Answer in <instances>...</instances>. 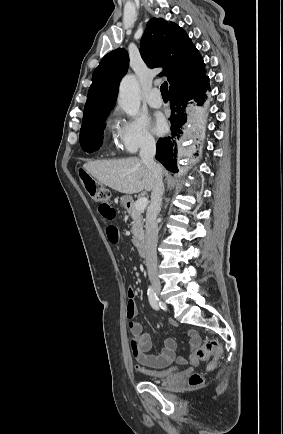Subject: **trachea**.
Listing matches in <instances>:
<instances>
[{"instance_id":"trachea-1","label":"trachea","mask_w":283,"mask_h":434,"mask_svg":"<svg viewBox=\"0 0 283 434\" xmlns=\"http://www.w3.org/2000/svg\"><path fill=\"white\" fill-rule=\"evenodd\" d=\"M160 91H161L162 97H169V95H168V83L166 81L161 85Z\"/></svg>"}]
</instances>
